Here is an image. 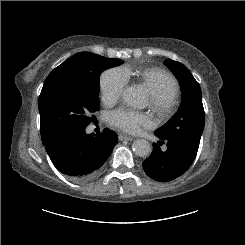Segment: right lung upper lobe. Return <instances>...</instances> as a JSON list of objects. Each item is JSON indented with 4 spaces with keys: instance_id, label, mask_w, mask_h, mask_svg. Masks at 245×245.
Wrapping results in <instances>:
<instances>
[{
    "instance_id": "obj_1",
    "label": "right lung upper lobe",
    "mask_w": 245,
    "mask_h": 245,
    "mask_svg": "<svg viewBox=\"0 0 245 245\" xmlns=\"http://www.w3.org/2000/svg\"><path fill=\"white\" fill-rule=\"evenodd\" d=\"M80 55V53L75 54L74 56L70 57L69 59H67L66 61H64L61 65H59L58 67H56L50 74L48 77H51L55 74L64 72L66 70H70L72 68H74L76 66V60L78 58V56ZM45 143V142H43Z\"/></svg>"
}]
</instances>
